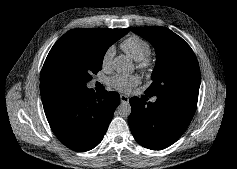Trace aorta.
Wrapping results in <instances>:
<instances>
[{"label":"aorta","mask_w":237,"mask_h":169,"mask_svg":"<svg viewBox=\"0 0 237 169\" xmlns=\"http://www.w3.org/2000/svg\"><path fill=\"white\" fill-rule=\"evenodd\" d=\"M113 69L117 73L126 74L134 71V64L131 59L125 55H119L114 58L112 63ZM132 108L129 102L123 101L117 107V113L119 116L127 118L131 114Z\"/></svg>","instance_id":"obj_1"}]
</instances>
